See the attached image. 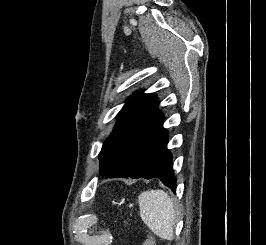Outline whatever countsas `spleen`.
<instances>
[{
    "instance_id": "obj_1",
    "label": "spleen",
    "mask_w": 266,
    "mask_h": 245,
    "mask_svg": "<svg viewBox=\"0 0 266 245\" xmlns=\"http://www.w3.org/2000/svg\"><path fill=\"white\" fill-rule=\"evenodd\" d=\"M140 217L160 239L172 241L176 221L175 207L164 191H144L138 197Z\"/></svg>"
}]
</instances>
